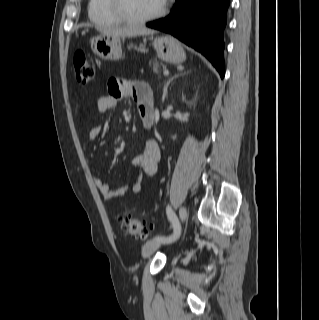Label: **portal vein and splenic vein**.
<instances>
[{"instance_id": "1", "label": "portal vein and splenic vein", "mask_w": 319, "mask_h": 320, "mask_svg": "<svg viewBox=\"0 0 319 320\" xmlns=\"http://www.w3.org/2000/svg\"><path fill=\"white\" fill-rule=\"evenodd\" d=\"M163 74H164L165 76H168V75H169V71H168V70H164Z\"/></svg>"}]
</instances>
